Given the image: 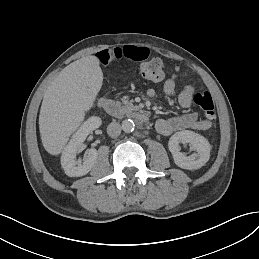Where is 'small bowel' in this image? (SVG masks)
<instances>
[{"label": "small bowel", "mask_w": 259, "mask_h": 259, "mask_svg": "<svg viewBox=\"0 0 259 259\" xmlns=\"http://www.w3.org/2000/svg\"><path fill=\"white\" fill-rule=\"evenodd\" d=\"M149 56V49L145 46L124 45L105 49L96 54V59L103 65L110 64L122 58L132 61H142ZM176 90V83L173 79H168L163 84V93L171 96ZM150 97L155 96L156 91L150 88L147 91ZM195 89L193 86H186L179 94L178 100L182 108L188 111L182 115L171 118H161L156 122L157 131L165 136H169L178 131L186 129L208 130L212 126V121L207 118H200L197 112L190 111Z\"/></svg>", "instance_id": "c3829d8e"}]
</instances>
